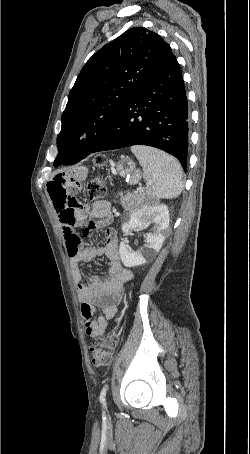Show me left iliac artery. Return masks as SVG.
Here are the masks:
<instances>
[{
  "label": "left iliac artery",
  "mask_w": 250,
  "mask_h": 454,
  "mask_svg": "<svg viewBox=\"0 0 250 454\" xmlns=\"http://www.w3.org/2000/svg\"><path fill=\"white\" fill-rule=\"evenodd\" d=\"M107 389H108V386L105 385L102 390H101V393H100V397H99V401L100 403L102 404H105L106 402V392H107Z\"/></svg>",
  "instance_id": "44dca946"
}]
</instances>
